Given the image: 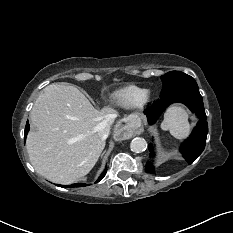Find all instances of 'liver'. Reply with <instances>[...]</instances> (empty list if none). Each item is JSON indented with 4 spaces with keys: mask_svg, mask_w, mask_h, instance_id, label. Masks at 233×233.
<instances>
[{
    "mask_svg": "<svg viewBox=\"0 0 233 233\" xmlns=\"http://www.w3.org/2000/svg\"><path fill=\"white\" fill-rule=\"evenodd\" d=\"M111 107L97 110L75 86L50 84L35 101L26 140L38 174L59 184L87 175L105 147L99 129Z\"/></svg>",
    "mask_w": 233,
    "mask_h": 233,
    "instance_id": "obj_1",
    "label": "liver"
}]
</instances>
